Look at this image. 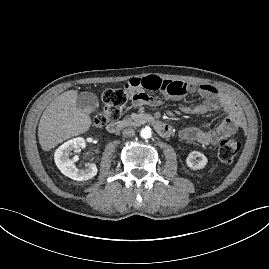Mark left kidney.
<instances>
[{"label": "left kidney", "instance_id": "left-kidney-1", "mask_svg": "<svg viewBox=\"0 0 269 269\" xmlns=\"http://www.w3.org/2000/svg\"><path fill=\"white\" fill-rule=\"evenodd\" d=\"M207 162V157L198 151H191L186 158V165L193 170L203 169Z\"/></svg>", "mask_w": 269, "mask_h": 269}]
</instances>
